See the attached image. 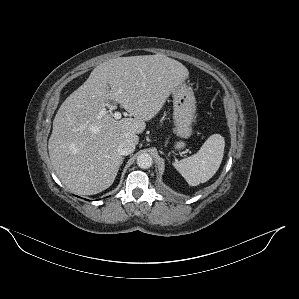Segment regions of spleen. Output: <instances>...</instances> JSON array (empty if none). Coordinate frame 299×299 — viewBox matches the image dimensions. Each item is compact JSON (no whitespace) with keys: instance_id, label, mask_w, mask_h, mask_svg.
Listing matches in <instances>:
<instances>
[{"instance_id":"3e777b00","label":"spleen","mask_w":299,"mask_h":299,"mask_svg":"<svg viewBox=\"0 0 299 299\" xmlns=\"http://www.w3.org/2000/svg\"><path fill=\"white\" fill-rule=\"evenodd\" d=\"M225 147L224 137L220 134L211 135L201 146L199 151L173 166L191 186L208 181L220 167Z\"/></svg>"}]
</instances>
